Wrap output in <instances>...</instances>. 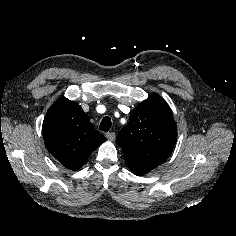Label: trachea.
<instances>
[{
	"mask_svg": "<svg viewBox=\"0 0 236 236\" xmlns=\"http://www.w3.org/2000/svg\"><path fill=\"white\" fill-rule=\"evenodd\" d=\"M111 124L112 123L110 117L105 116L100 123L99 129L105 132L109 131V129L111 128Z\"/></svg>",
	"mask_w": 236,
	"mask_h": 236,
	"instance_id": "3493384b",
	"label": "trachea"
}]
</instances>
